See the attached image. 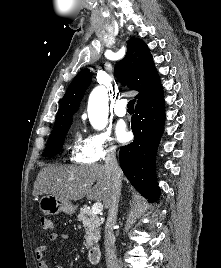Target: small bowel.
<instances>
[{
    "label": "small bowel",
    "mask_w": 221,
    "mask_h": 268,
    "mask_svg": "<svg viewBox=\"0 0 221 268\" xmlns=\"http://www.w3.org/2000/svg\"><path fill=\"white\" fill-rule=\"evenodd\" d=\"M61 239H67V235L63 233L58 232H51L49 234V240L51 242H56ZM47 252V246L46 245H40L35 250V257L38 261V268H49V265L47 261L45 260V255Z\"/></svg>",
    "instance_id": "1"
}]
</instances>
